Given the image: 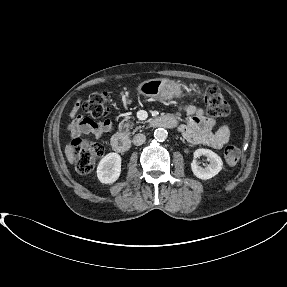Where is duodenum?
<instances>
[{
  "mask_svg": "<svg viewBox=\"0 0 287 287\" xmlns=\"http://www.w3.org/2000/svg\"><path fill=\"white\" fill-rule=\"evenodd\" d=\"M151 125L153 127L173 128L175 121L167 116H159L152 119ZM111 146L116 152H126L130 148L129 138L122 133L114 134L111 138Z\"/></svg>",
  "mask_w": 287,
  "mask_h": 287,
  "instance_id": "duodenum-1",
  "label": "duodenum"
}]
</instances>
